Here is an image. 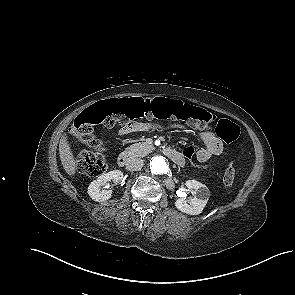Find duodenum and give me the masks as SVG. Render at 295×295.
Instances as JSON below:
<instances>
[{"label": "duodenum", "instance_id": "410a0bca", "mask_svg": "<svg viewBox=\"0 0 295 295\" xmlns=\"http://www.w3.org/2000/svg\"><path fill=\"white\" fill-rule=\"evenodd\" d=\"M165 155L171 159L174 163L178 165H183L184 164V158L182 157L181 153L171 149V148H166L164 150ZM132 160V154L128 151L121 152L117 158V163L119 166L123 167L127 165L130 161Z\"/></svg>", "mask_w": 295, "mask_h": 295}]
</instances>
